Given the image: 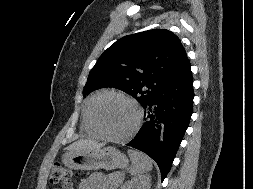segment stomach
Returning <instances> with one entry per match:
<instances>
[{
	"instance_id": "stomach-1",
	"label": "stomach",
	"mask_w": 253,
	"mask_h": 189,
	"mask_svg": "<svg viewBox=\"0 0 253 189\" xmlns=\"http://www.w3.org/2000/svg\"><path fill=\"white\" fill-rule=\"evenodd\" d=\"M62 162L72 170L123 169L129 164L126 155L114 147L67 152L63 155Z\"/></svg>"
}]
</instances>
